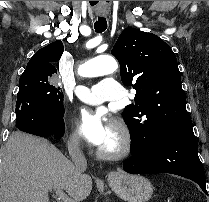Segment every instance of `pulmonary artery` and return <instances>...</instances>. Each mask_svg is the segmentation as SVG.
Returning a JSON list of instances; mask_svg holds the SVG:
<instances>
[{
	"label": "pulmonary artery",
	"instance_id": "1",
	"mask_svg": "<svg viewBox=\"0 0 209 202\" xmlns=\"http://www.w3.org/2000/svg\"><path fill=\"white\" fill-rule=\"evenodd\" d=\"M120 86L114 79H103L93 85H79L76 88L77 97L92 105L102 104L105 100L117 101L121 98Z\"/></svg>",
	"mask_w": 209,
	"mask_h": 202
}]
</instances>
